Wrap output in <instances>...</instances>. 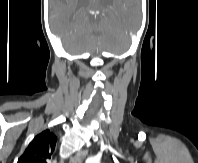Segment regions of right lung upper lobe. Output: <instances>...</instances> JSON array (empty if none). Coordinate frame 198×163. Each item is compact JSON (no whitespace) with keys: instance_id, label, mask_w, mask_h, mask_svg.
<instances>
[{"instance_id":"1","label":"right lung upper lobe","mask_w":198,"mask_h":163,"mask_svg":"<svg viewBox=\"0 0 198 163\" xmlns=\"http://www.w3.org/2000/svg\"><path fill=\"white\" fill-rule=\"evenodd\" d=\"M56 136L49 130L34 137L17 163H47L54 152Z\"/></svg>"}]
</instances>
